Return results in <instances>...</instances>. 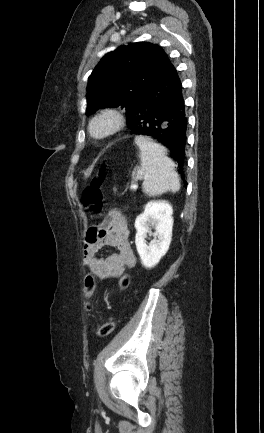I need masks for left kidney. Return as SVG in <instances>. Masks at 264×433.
I'll use <instances>...</instances> for the list:
<instances>
[{
  "instance_id": "1",
  "label": "left kidney",
  "mask_w": 264,
  "mask_h": 433,
  "mask_svg": "<svg viewBox=\"0 0 264 433\" xmlns=\"http://www.w3.org/2000/svg\"><path fill=\"white\" fill-rule=\"evenodd\" d=\"M172 206L166 201H150L144 207V212L135 220L137 230L135 244L141 262L145 268H153L167 253L172 239ZM149 226L155 229L158 238L147 245L145 239L150 232Z\"/></svg>"
}]
</instances>
